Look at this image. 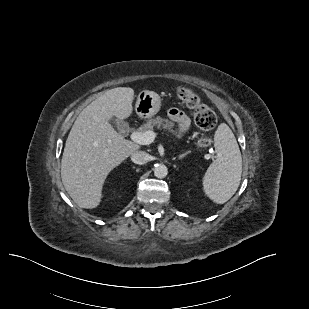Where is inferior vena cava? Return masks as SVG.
I'll use <instances>...</instances> for the list:
<instances>
[{
	"label": "inferior vena cava",
	"instance_id": "1",
	"mask_svg": "<svg viewBox=\"0 0 309 309\" xmlns=\"http://www.w3.org/2000/svg\"><path fill=\"white\" fill-rule=\"evenodd\" d=\"M131 160L135 164H145L150 160V156L148 153L144 151H135L131 154Z\"/></svg>",
	"mask_w": 309,
	"mask_h": 309
}]
</instances>
